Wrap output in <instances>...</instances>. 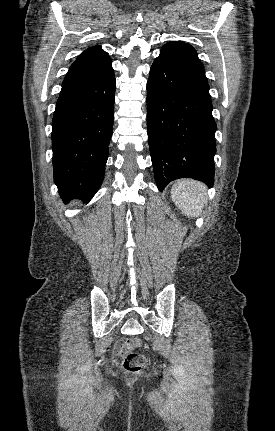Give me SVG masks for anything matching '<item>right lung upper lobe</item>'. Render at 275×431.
<instances>
[{"label":"right lung upper lobe","instance_id":"right-lung-upper-lobe-1","mask_svg":"<svg viewBox=\"0 0 275 431\" xmlns=\"http://www.w3.org/2000/svg\"><path fill=\"white\" fill-rule=\"evenodd\" d=\"M111 69V59L100 46L88 48L74 61L62 86L88 81Z\"/></svg>","mask_w":275,"mask_h":431}]
</instances>
